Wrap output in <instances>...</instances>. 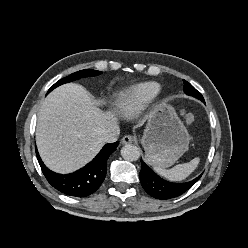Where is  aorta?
I'll return each mask as SVG.
<instances>
[{
	"label": "aorta",
	"mask_w": 248,
	"mask_h": 248,
	"mask_svg": "<svg viewBox=\"0 0 248 248\" xmlns=\"http://www.w3.org/2000/svg\"><path fill=\"white\" fill-rule=\"evenodd\" d=\"M121 156L128 161H136L140 157V149L131 144H127L121 149Z\"/></svg>",
	"instance_id": "obj_1"
}]
</instances>
